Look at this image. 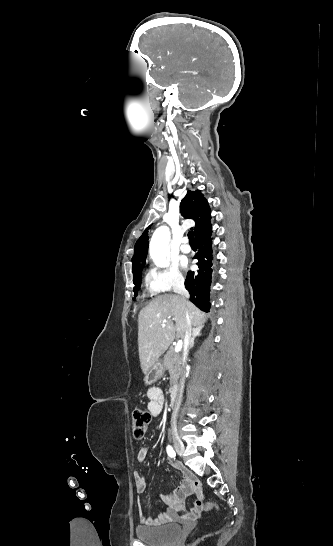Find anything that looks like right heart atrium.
Masks as SVG:
<instances>
[{"mask_svg": "<svg viewBox=\"0 0 333 546\" xmlns=\"http://www.w3.org/2000/svg\"><path fill=\"white\" fill-rule=\"evenodd\" d=\"M148 290L151 294H162L180 290L184 286V276L177 264L170 263L164 267H153L146 278Z\"/></svg>", "mask_w": 333, "mask_h": 546, "instance_id": "1", "label": "right heart atrium"}]
</instances>
